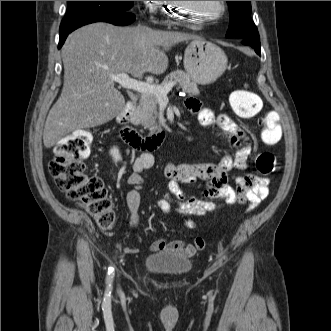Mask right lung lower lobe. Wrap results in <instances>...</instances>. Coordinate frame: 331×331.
I'll list each match as a JSON object with an SVG mask.
<instances>
[{
    "instance_id": "obj_1",
    "label": "right lung lower lobe",
    "mask_w": 331,
    "mask_h": 331,
    "mask_svg": "<svg viewBox=\"0 0 331 331\" xmlns=\"http://www.w3.org/2000/svg\"><path fill=\"white\" fill-rule=\"evenodd\" d=\"M135 20V15L129 12L124 13H118V14H110V15H103L98 16L89 20L82 21L80 23H77L66 30L60 31V39H59V45L58 48L60 49L65 42V39L67 38L68 34L74 31L75 29L90 24L94 22H107L111 23L117 26H125L131 24Z\"/></svg>"
}]
</instances>
